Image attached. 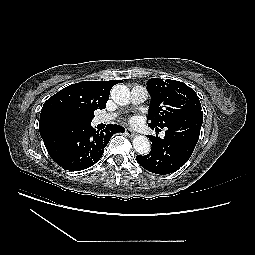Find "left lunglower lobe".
Wrapping results in <instances>:
<instances>
[{"mask_svg": "<svg viewBox=\"0 0 255 255\" xmlns=\"http://www.w3.org/2000/svg\"><path fill=\"white\" fill-rule=\"evenodd\" d=\"M203 115L175 122L166 126L165 137L161 139L148 135L152 148L148 155H137L138 163L146 170L156 174H170L182 167L192 155L199 139ZM152 129H159L149 124Z\"/></svg>", "mask_w": 255, "mask_h": 255, "instance_id": "0a47b994", "label": "left lung lower lobe"}]
</instances>
